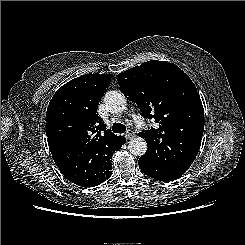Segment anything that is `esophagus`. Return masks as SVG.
Listing matches in <instances>:
<instances>
[{
	"label": "esophagus",
	"instance_id": "34e87169",
	"mask_svg": "<svg viewBox=\"0 0 245 245\" xmlns=\"http://www.w3.org/2000/svg\"><path fill=\"white\" fill-rule=\"evenodd\" d=\"M134 137H135L134 131H132V130H127V132L125 133V138H126L127 140H130V139H132V138H134Z\"/></svg>",
	"mask_w": 245,
	"mask_h": 245
}]
</instances>
